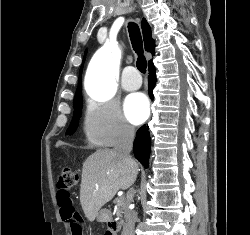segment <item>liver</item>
Returning a JSON list of instances; mask_svg holds the SVG:
<instances>
[{"instance_id":"1","label":"liver","mask_w":250,"mask_h":235,"mask_svg":"<svg viewBox=\"0 0 250 235\" xmlns=\"http://www.w3.org/2000/svg\"><path fill=\"white\" fill-rule=\"evenodd\" d=\"M137 173V162H124L114 150L91 154L83 164L80 186V203L87 219L93 222L119 189H128L134 183Z\"/></svg>"}]
</instances>
